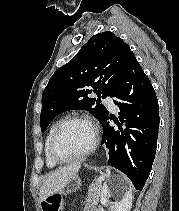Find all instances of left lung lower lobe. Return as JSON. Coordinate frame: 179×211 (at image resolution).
Segmentation results:
<instances>
[{
    "label": "left lung lower lobe",
    "mask_w": 179,
    "mask_h": 211,
    "mask_svg": "<svg viewBox=\"0 0 179 211\" xmlns=\"http://www.w3.org/2000/svg\"><path fill=\"white\" fill-rule=\"evenodd\" d=\"M110 96L116 98L120 122L113 119L117 126L111 127L109 114L102 122V144L109 148L108 164L142 190L155 158L159 111L155 91L134 54Z\"/></svg>",
    "instance_id": "obj_1"
}]
</instances>
